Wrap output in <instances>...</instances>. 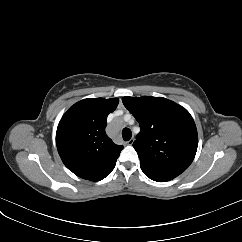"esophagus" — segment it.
I'll list each match as a JSON object with an SVG mask.
<instances>
[{"label":"esophagus","instance_id":"34e87169","mask_svg":"<svg viewBox=\"0 0 242 242\" xmlns=\"http://www.w3.org/2000/svg\"><path fill=\"white\" fill-rule=\"evenodd\" d=\"M133 142H134V139L131 138V139H130L129 141H127L125 144H126V145H132Z\"/></svg>","mask_w":242,"mask_h":242}]
</instances>
